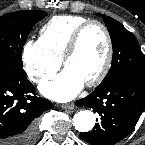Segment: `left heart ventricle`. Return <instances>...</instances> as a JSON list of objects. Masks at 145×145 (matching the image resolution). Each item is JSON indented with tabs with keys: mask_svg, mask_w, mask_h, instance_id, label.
<instances>
[{
	"mask_svg": "<svg viewBox=\"0 0 145 145\" xmlns=\"http://www.w3.org/2000/svg\"><path fill=\"white\" fill-rule=\"evenodd\" d=\"M106 52L107 41L103 30L97 25H91L82 34L77 50L65 67L71 68L87 82L100 71Z\"/></svg>",
	"mask_w": 145,
	"mask_h": 145,
	"instance_id": "b2bd125f",
	"label": "left heart ventricle"
}]
</instances>
